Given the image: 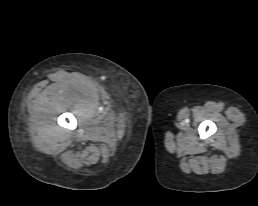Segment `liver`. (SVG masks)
<instances>
[{"instance_id":"6515ba94","label":"liver","mask_w":258,"mask_h":206,"mask_svg":"<svg viewBox=\"0 0 258 206\" xmlns=\"http://www.w3.org/2000/svg\"><path fill=\"white\" fill-rule=\"evenodd\" d=\"M47 94V90H45L44 92H43V95H46Z\"/></svg>"}]
</instances>
